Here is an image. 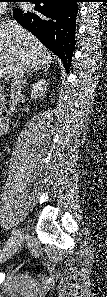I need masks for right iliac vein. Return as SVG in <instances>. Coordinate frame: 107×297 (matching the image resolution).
Segmentation results:
<instances>
[{"instance_id":"1","label":"right iliac vein","mask_w":107,"mask_h":297,"mask_svg":"<svg viewBox=\"0 0 107 297\" xmlns=\"http://www.w3.org/2000/svg\"><path fill=\"white\" fill-rule=\"evenodd\" d=\"M13 251L14 250H12V249L8 250L6 253L3 254V257L1 259L6 260L7 258H9V256L12 255Z\"/></svg>"}]
</instances>
